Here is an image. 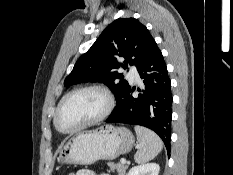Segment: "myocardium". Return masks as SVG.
Segmentation results:
<instances>
[{
	"label": "myocardium",
	"mask_w": 233,
	"mask_h": 175,
	"mask_svg": "<svg viewBox=\"0 0 233 175\" xmlns=\"http://www.w3.org/2000/svg\"><path fill=\"white\" fill-rule=\"evenodd\" d=\"M82 91H96L99 92L106 100V106L103 109V111L97 115L96 117H94L93 119H90L88 121H86L85 123L77 126L76 128L70 129V130H63L59 127L58 125V115H59V111L60 108L62 106V104L66 101L67 98H69L71 95L78 93V92H82ZM114 105H115V101L114 98L112 96V94L109 92L108 89H106L105 87L101 86V85H85V86H80L77 88H74L72 90H70L68 93H66L61 100L59 101L55 113H54V125L55 128L64 134H71V133H75L78 132L88 126H91L93 124H96L98 122H101L102 120H104L105 118H107L110 113L112 112V110L114 109Z\"/></svg>",
	"instance_id": "f54148a6"
}]
</instances>
